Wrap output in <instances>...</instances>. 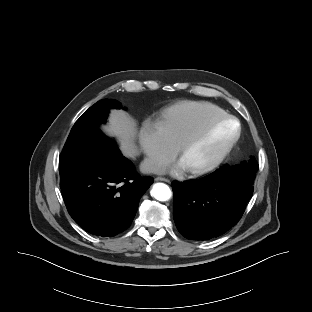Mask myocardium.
Listing matches in <instances>:
<instances>
[{"label": "myocardium", "instance_id": "obj_1", "mask_svg": "<svg viewBox=\"0 0 312 312\" xmlns=\"http://www.w3.org/2000/svg\"><path fill=\"white\" fill-rule=\"evenodd\" d=\"M225 122H233L236 126L235 132L232 137L226 142V144L207 162L190 168V172L193 174H203L206 173L215 167H217L225 157L230 153L233 147L238 142L241 136V124L239 120L231 115H225L208 122L204 127L200 130L186 138L179 144L178 153L182 156L191 146L195 145L199 141H201L204 137H206L216 126L225 123Z\"/></svg>", "mask_w": 312, "mask_h": 312}]
</instances>
